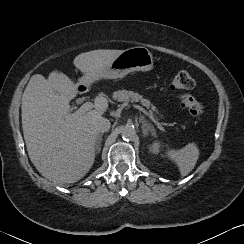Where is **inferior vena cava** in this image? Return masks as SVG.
I'll use <instances>...</instances> for the list:
<instances>
[{
  "instance_id": "602c4592",
  "label": "inferior vena cava",
  "mask_w": 244,
  "mask_h": 244,
  "mask_svg": "<svg viewBox=\"0 0 244 244\" xmlns=\"http://www.w3.org/2000/svg\"><path fill=\"white\" fill-rule=\"evenodd\" d=\"M94 126L97 132H106L110 129L111 123L108 119L101 116L95 120Z\"/></svg>"
}]
</instances>
